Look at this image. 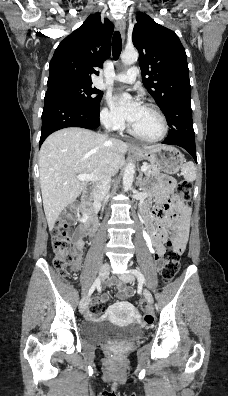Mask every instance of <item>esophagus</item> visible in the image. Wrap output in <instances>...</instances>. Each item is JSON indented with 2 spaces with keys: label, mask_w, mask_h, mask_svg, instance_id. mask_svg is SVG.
<instances>
[{
  "label": "esophagus",
  "mask_w": 228,
  "mask_h": 396,
  "mask_svg": "<svg viewBox=\"0 0 228 396\" xmlns=\"http://www.w3.org/2000/svg\"><path fill=\"white\" fill-rule=\"evenodd\" d=\"M125 21L124 20H118L116 21V28L120 31L123 40L125 39Z\"/></svg>",
  "instance_id": "1"
}]
</instances>
